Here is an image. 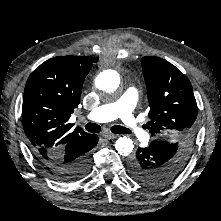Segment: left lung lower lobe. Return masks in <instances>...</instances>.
Wrapping results in <instances>:
<instances>
[{"instance_id":"0a47b994","label":"left lung lower lobe","mask_w":221,"mask_h":221,"mask_svg":"<svg viewBox=\"0 0 221 221\" xmlns=\"http://www.w3.org/2000/svg\"><path fill=\"white\" fill-rule=\"evenodd\" d=\"M166 152L167 149L158 141H153L148 147L138 148L129 163L131 177L142 185L151 187L163 185L164 182L154 178L163 176L160 166L166 156Z\"/></svg>"}]
</instances>
